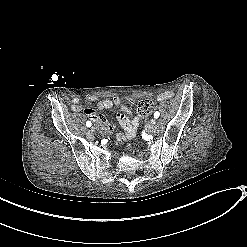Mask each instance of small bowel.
I'll return each mask as SVG.
<instances>
[{
	"label": "small bowel",
	"mask_w": 247,
	"mask_h": 247,
	"mask_svg": "<svg viewBox=\"0 0 247 247\" xmlns=\"http://www.w3.org/2000/svg\"><path fill=\"white\" fill-rule=\"evenodd\" d=\"M171 97H172L171 92H164L157 96V101L164 102L170 99ZM87 100L90 102H96L97 107L100 110L111 109L115 105H121L122 111L117 113L116 118L123 131L117 133L115 127H112V125H109V128H112L114 132V134L112 135V138L116 137L118 140L124 141V140L132 139L135 137L137 133V129L140 124V118L138 116H135L131 120L128 118L127 114L130 113V110L126 106L122 105V99L120 97H114L113 99H109V98L99 99L97 96H89ZM129 102H133V100L129 99ZM72 110L75 112H80L83 110L81 100L79 98H74L72 100ZM84 113L90 119H93V120L96 119L97 113L96 114L91 113L89 109H85ZM97 119L99 121H102L104 119V115L102 113H99L97 115ZM104 125L108 126V123L104 122Z\"/></svg>",
	"instance_id": "small-bowel-1"
}]
</instances>
